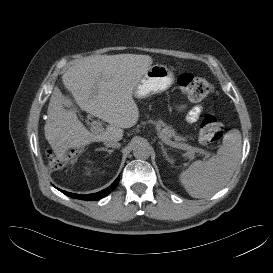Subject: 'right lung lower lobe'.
Masks as SVG:
<instances>
[{
  "label": "right lung lower lobe",
  "mask_w": 273,
  "mask_h": 273,
  "mask_svg": "<svg viewBox=\"0 0 273 273\" xmlns=\"http://www.w3.org/2000/svg\"><path fill=\"white\" fill-rule=\"evenodd\" d=\"M118 182H119V178H117L108 188H106L100 192L88 194V195L74 194V193H69V192L63 191V190H61V192L67 196L72 197V198L95 201V200H99V199L107 196L111 191H113L115 189V187L118 185Z\"/></svg>",
  "instance_id": "98d812e1"
}]
</instances>
